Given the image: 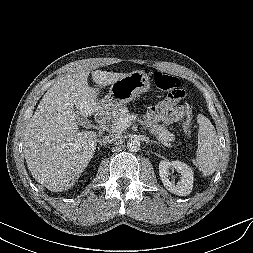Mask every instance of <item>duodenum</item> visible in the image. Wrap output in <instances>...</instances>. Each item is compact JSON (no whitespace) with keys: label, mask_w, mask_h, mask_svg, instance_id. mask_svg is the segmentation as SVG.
Masks as SVG:
<instances>
[{"label":"duodenum","mask_w":253,"mask_h":253,"mask_svg":"<svg viewBox=\"0 0 253 253\" xmlns=\"http://www.w3.org/2000/svg\"><path fill=\"white\" fill-rule=\"evenodd\" d=\"M105 120H106V117L103 112H98L95 115V122H96L100 132L104 131Z\"/></svg>","instance_id":"410a0bca"}]
</instances>
